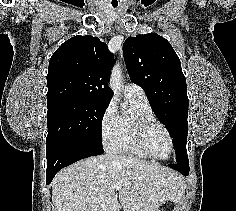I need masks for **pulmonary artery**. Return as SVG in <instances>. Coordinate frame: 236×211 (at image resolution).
<instances>
[{"mask_svg": "<svg viewBox=\"0 0 236 211\" xmlns=\"http://www.w3.org/2000/svg\"><path fill=\"white\" fill-rule=\"evenodd\" d=\"M124 95L127 99L147 101L144 90L137 84L129 83L124 87Z\"/></svg>", "mask_w": 236, "mask_h": 211, "instance_id": "1", "label": "pulmonary artery"}]
</instances>
